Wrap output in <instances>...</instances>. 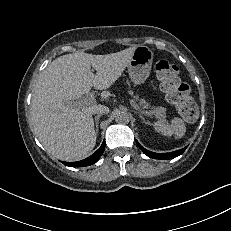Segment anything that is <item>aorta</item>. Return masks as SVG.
<instances>
[{"instance_id": "obj_1", "label": "aorta", "mask_w": 231, "mask_h": 231, "mask_svg": "<svg viewBox=\"0 0 231 231\" xmlns=\"http://www.w3.org/2000/svg\"><path fill=\"white\" fill-rule=\"evenodd\" d=\"M130 114L126 111H118L115 116V121L119 124H128L130 122Z\"/></svg>"}]
</instances>
